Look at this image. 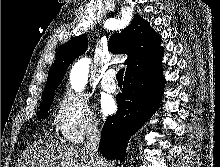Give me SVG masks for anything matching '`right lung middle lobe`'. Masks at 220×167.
<instances>
[{"label":"right lung middle lobe","mask_w":220,"mask_h":167,"mask_svg":"<svg viewBox=\"0 0 220 167\" xmlns=\"http://www.w3.org/2000/svg\"><path fill=\"white\" fill-rule=\"evenodd\" d=\"M54 95L44 99L40 105L39 119L45 118L48 114Z\"/></svg>","instance_id":"1"}]
</instances>
